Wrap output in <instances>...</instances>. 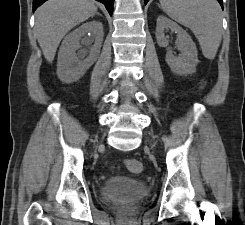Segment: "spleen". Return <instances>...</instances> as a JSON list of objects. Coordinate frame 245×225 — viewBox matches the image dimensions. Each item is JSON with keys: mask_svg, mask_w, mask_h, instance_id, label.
Masks as SVG:
<instances>
[{"mask_svg": "<svg viewBox=\"0 0 245 225\" xmlns=\"http://www.w3.org/2000/svg\"><path fill=\"white\" fill-rule=\"evenodd\" d=\"M163 11L192 30L204 57L214 59L222 39V14L216 0H159Z\"/></svg>", "mask_w": 245, "mask_h": 225, "instance_id": "spleen-1", "label": "spleen"}]
</instances>
